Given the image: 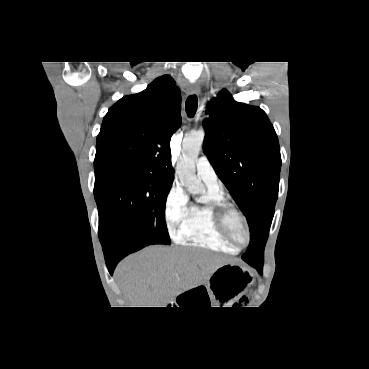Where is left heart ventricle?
<instances>
[{
	"instance_id": "1",
	"label": "left heart ventricle",
	"mask_w": 369,
	"mask_h": 369,
	"mask_svg": "<svg viewBox=\"0 0 369 369\" xmlns=\"http://www.w3.org/2000/svg\"><path fill=\"white\" fill-rule=\"evenodd\" d=\"M230 226L235 239L240 243H244L246 240V233L240 220L237 217H232L230 219Z\"/></svg>"
}]
</instances>
